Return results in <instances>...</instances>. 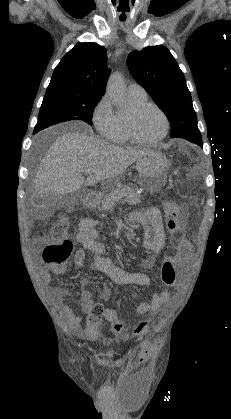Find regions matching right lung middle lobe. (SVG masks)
Wrapping results in <instances>:
<instances>
[{"mask_svg":"<svg viewBox=\"0 0 231 419\" xmlns=\"http://www.w3.org/2000/svg\"><path fill=\"white\" fill-rule=\"evenodd\" d=\"M101 96L80 95L65 88L47 89L34 133L56 123L83 120L92 124L93 110Z\"/></svg>","mask_w":231,"mask_h":419,"instance_id":"right-lung-middle-lobe-1","label":"right lung middle lobe"}]
</instances>
